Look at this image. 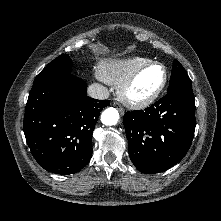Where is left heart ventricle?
<instances>
[{"label": "left heart ventricle", "mask_w": 221, "mask_h": 221, "mask_svg": "<svg viewBox=\"0 0 221 221\" xmlns=\"http://www.w3.org/2000/svg\"><path fill=\"white\" fill-rule=\"evenodd\" d=\"M163 70L159 66H153L146 70L135 85V92L143 95L154 91L161 83Z\"/></svg>", "instance_id": "obj_1"}]
</instances>
